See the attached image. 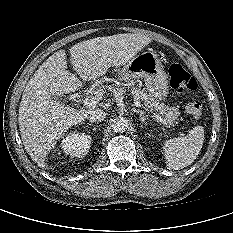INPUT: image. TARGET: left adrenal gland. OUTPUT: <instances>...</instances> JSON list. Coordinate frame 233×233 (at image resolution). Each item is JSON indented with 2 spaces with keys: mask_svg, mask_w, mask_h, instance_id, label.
<instances>
[{
  "mask_svg": "<svg viewBox=\"0 0 233 233\" xmlns=\"http://www.w3.org/2000/svg\"><path fill=\"white\" fill-rule=\"evenodd\" d=\"M132 111H134V113L139 114V118L141 122H145V118L147 117L143 111L141 110H137L136 108H133Z\"/></svg>",
  "mask_w": 233,
  "mask_h": 233,
  "instance_id": "a2214340",
  "label": "left adrenal gland"
}]
</instances>
